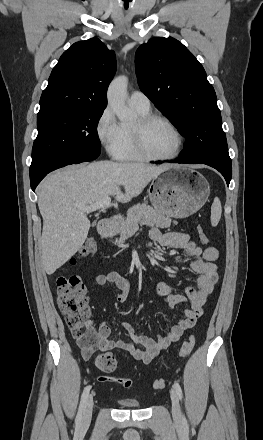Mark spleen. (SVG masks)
Here are the masks:
<instances>
[{"label": "spleen", "mask_w": 263, "mask_h": 440, "mask_svg": "<svg viewBox=\"0 0 263 440\" xmlns=\"http://www.w3.org/2000/svg\"><path fill=\"white\" fill-rule=\"evenodd\" d=\"M221 214H222V206L220 199L218 197H215L211 206V217H210L211 225L213 227L218 225L221 219Z\"/></svg>", "instance_id": "spleen-1"}]
</instances>
